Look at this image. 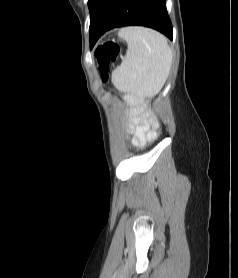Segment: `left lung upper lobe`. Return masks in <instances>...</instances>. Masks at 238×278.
<instances>
[{
	"mask_svg": "<svg viewBox=\"0 0 238 278\" xmlns=\"http://www.w3.org/2000/svg\"><path fill=\"white\" fill-rule=\"evenodd\" d=\"M98 0H88V6H89V11H90V14L92 12V9L95 5V3L97 2Z\"/></svg>",
	"mask_w": 238,
	"mask_h": 278,
	"instance_id": "left-lung-upper-lobe-1",
	"label": "left lung upper lobe"
}]
</instances>
